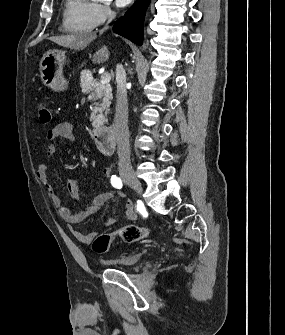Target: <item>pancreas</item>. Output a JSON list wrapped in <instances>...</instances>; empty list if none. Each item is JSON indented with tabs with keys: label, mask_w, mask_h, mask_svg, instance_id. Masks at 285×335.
I'll return each instance as SVG.
<instances>
[{
	"label": "pancreas",
	"mask_w": 285,
	"mask_h": 335,
	"mask_svg": "<svg viewBox=\"0 0 285 335\" xmlns=\"http://www.w3.org/2000/svg\"><path fill=\"white\" fill-rule=\"evenodd\" d=\"M79 85L84 93H92L95 90L96 100L94 110H92L91 123L92 125H103L107 122L105 116L108 114L109 106L112 100V92L109 86H97L95 81L97 76L92 71H83L80 76Z\"/></svg>",
	"instance_id": "1"
}]
</instances>
